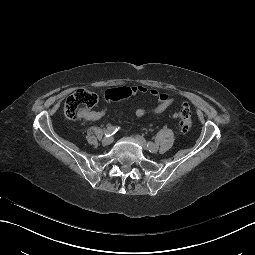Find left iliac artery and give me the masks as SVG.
Segmentation results:
<instances>
[{"instance_id":"44dca946","label":"left iliac artery","mask_w":255,"mask_h":255,"mask_svg":"<svg viewBox=\"0 0 255 255\" xmlns=\"http://www.w3.org/2000/svg\"><path fill=\"white\" fill-rule=\"evenodd\" d=\"M147 146H148V148H152L157 145L149 141V142H147Z\"/></svg>"}]
</instances>
